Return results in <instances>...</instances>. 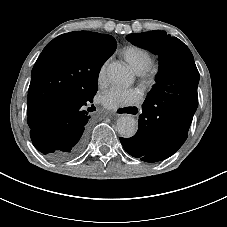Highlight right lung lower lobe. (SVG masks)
Returning a JSON list of instances; mask_svg holds the SVG:
<instances>
[{
	"label": "right lung lower lobe",
	"instance_id": "obj_1",
	"mask_svg": "<svg viewBox=\"0 0 227 227\" xmlns=\"http://www.w3.org/2000/svg\"><path fill=\"white\" fill-rule=\"evenodd\" d=\"M94 95L83 94L61 100L48 122L39 130H31L33 145L53 161H66L76 157L87 139V103Z\"/></svg>",
	"mask_w": 227,
	"mask_h": 227
}]
</instances>
